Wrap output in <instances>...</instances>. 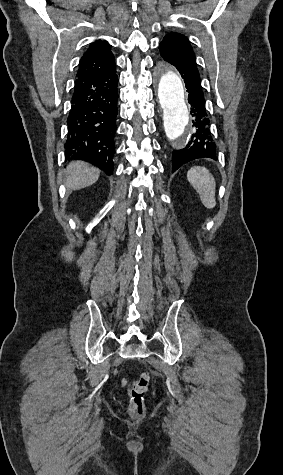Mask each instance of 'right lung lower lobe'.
<instances>
[{
  "instance_id": "98d812e1",
  "label": "right lung lower lobe",
  "mask_w": 283,
  "mask_h": 475,
  "mask_svg": "<svg viewBox=\"0 0 283 475\" xmlns=\"http://www.w3.org/2000/svg\"><path fill=\"white\" fill-rule=\"evenodd\" d=\"M117 84L116 67L106 73L76 77L64 144L68 161L84 160L107 175L113 171Z\"/></svg>"
}]
</instances>
